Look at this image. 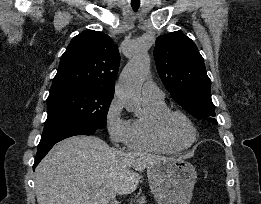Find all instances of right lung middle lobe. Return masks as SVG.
<instances>
[{
	"label": "right lung middle lobe",
	"instance_id": "1",
	"mask_svg": "<svg viewBox=\"0 0 261 204\" xmlns=\"http://www.w3.org/2000/svg\"><path fill=\"white\" fill-rule=\"evenodd\" d=\"M113 95L85 89L50 94L47 98L48 117L43 134L70 127L104 128Z\"/></svg>",
	"mask_w": 261,
	"mask_h": 204
}]
</instances>
